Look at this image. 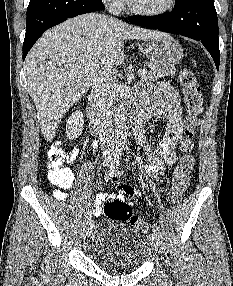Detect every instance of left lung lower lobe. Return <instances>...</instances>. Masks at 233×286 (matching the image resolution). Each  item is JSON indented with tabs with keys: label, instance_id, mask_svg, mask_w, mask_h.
<instances>
[{
	"label": "left lung lower lobe",
	"instance_id": "1",
	"mask_svg": "<svg viewBox=\"0 0 233 286\" xmlns=\"http://www.w3.org/2000/svg\"><path fill=\"white\" fill-rule=\"evenodd\" d=\"M128 19L135 25L201 41L219 69L218 18L214 0H175V7L169 14L130 16Z\"/></svg>",
	"mask_w": 233,
	"mask_h": 286
}]
</instances>
